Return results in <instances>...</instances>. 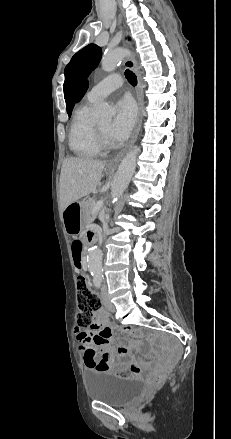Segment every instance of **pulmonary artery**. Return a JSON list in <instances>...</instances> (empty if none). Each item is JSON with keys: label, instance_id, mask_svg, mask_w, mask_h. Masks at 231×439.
Wrapping results in <instances>:
<instances>
[{"label": "pulmonary artery", "instance_id": "obj_1", "mask_svg": "<svg viewBox=\"0 0 231 439\" xmlns=\"http://www.w3.org/2000/svg\"><path fill=\"white\" fill-rule=\"evenodd\" d=\"M122 85L123 77L119 73L110 74L90 89L87 98L94 102L99 101Z\"/></svg>", "mask_w": 231, "mask_h": 439}]
</instances>
